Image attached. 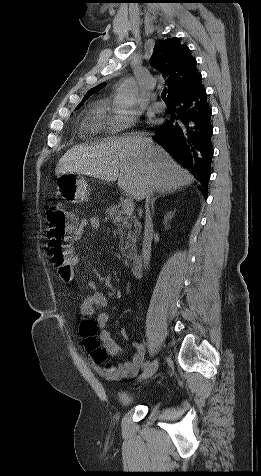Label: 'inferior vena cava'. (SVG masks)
<instances>
[{
  "mask_svg": "<svg viewBox=\"0 0 261 476\" xmlns=\"http://www.w3.org/2000/svg\"><path fill=\"white\" fill-rule=\"evenodd\" d=\"M144 197L146 198L145 209H146V218H145V230L143 237L142 245V261L145 268H148L151 257V242H152V232L153 224L151 219V213L149 208L150 196L153 194L152 188L150 186H145L143 190Z\"/></svg>",
  "mask_w": 261,
  "mask_h": 476,
  "instance_id": "602c4592",
  "label": "inferior vena cava"
}]
</instances>
